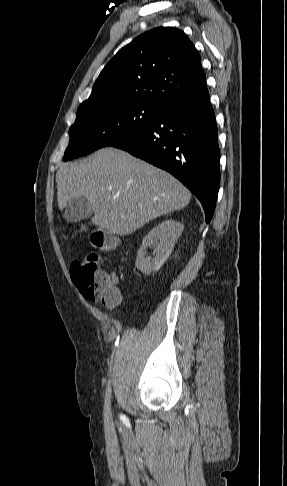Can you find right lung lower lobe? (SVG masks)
Listing matches in <instances>:
<instances>
[{"mask_svg":"<svg viewBox=\"0 0 287 486\" xmlns=\"http://www.w3.org/2000/svg\"><path fill=\"white\" fill-rule=\"evenodd\" d=\"M179 179L210 222L220 186L218 131L207 87L164 106L134 138L114 145Z\"/></svg>","mask_w":287,"mask_h":486,"instance_id":"98d812e1","label":"right lung lower lobe"}]
</instances>
